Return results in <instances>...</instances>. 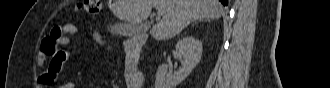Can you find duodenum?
<instances>
[{"mask_svg":"<svg viewBox=\"0 0 330 88\" xmlns=\"http://www.w3.org/2000/svg\"><path fill=\"white\" fill-rule=\"evenodd\" d=\"M145 40L146 38L143 35H138L129 40L125 45L127 63L131 66V70H127V75L131 76L129 83L132 87H138L140 82L138 73V53Z\"/></svg>","mask_w":330,"mask_h":88,"instance_id":"410a0bca","label":"duodenum"}]
</instances>
